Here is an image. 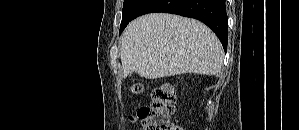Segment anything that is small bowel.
Returning <instances> with one entry per match:
<instances>
[{
	"mask_svg": "<svg viewBox=\"0 0 299 130\" xmlns=\"http://www.w3.org/2000/svg\"><path fill=\"white\" fill-rule=\"evenodd\" d=\"M128 121L131 122V123H136L138 121L137 117L134 116V115H129L127 117Z\"/></svg>",
	"mask_w": 299,
	"mask_h": 130,
	"instance_id": "c3829d8e",
	"label": "small bowel"
}]
</instances>
